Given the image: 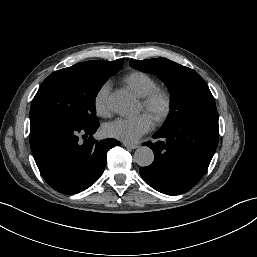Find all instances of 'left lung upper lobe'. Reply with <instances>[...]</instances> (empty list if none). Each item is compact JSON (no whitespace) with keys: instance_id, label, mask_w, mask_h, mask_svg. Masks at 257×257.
<instances>
[{"instance_id":"obj_1","label":"left lung upper lobe","mask_w":257,"mask_h":257,"mask_svg":"<svg viewBox=\"0 0 257 257\" xmlns=\"http://www.w3.org/2000/svg\"><path fill=\"white\" fill-rule=\"evenodd\" d=\"M130 66L156 74L172 94V110L162 128L216 110L215 100L204 79L194 70L165 58L131 60Z\"/></svg>"}]
</instances>
